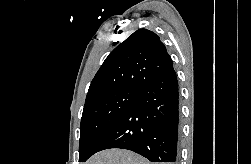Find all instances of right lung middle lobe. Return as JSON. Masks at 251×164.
<instances>
[{
	"label": "right lung middle lobe",
	"instance_id": "dd1d6c3e",
	"mask_svg": "<svg viewBox=\"0 0 251 164\" xmlns=\"http://www.w3.org/2000/svg\"><path fill=\"white\" fill-rule=\"evenodd\" d=\"M138 88L126 87L85 102L80 126L79 162H85L101 137L136 101Z\"/></svg>",
	"mask_w": 251,
	"mask_h": 164
}]
</instances>
